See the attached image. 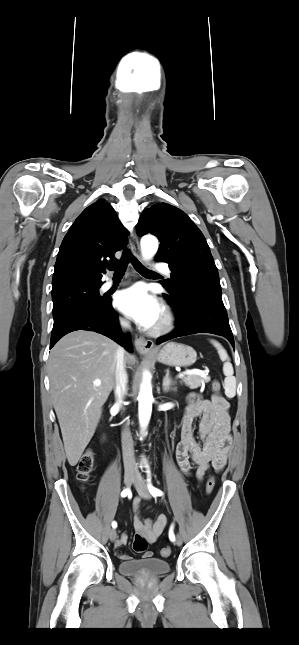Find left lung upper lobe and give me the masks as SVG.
I'll return each mask as SVG.
<instances>
[{"mask_svg":"<svg viewBox=\"0 0 299 645\" xmlns=\"http://www.w3.org/2000/svg\"><path fill=\"white\" fill-rule=\"evenodd\" d=\"M137 234L155 235L161 242L157 261L169 263L171 279L161 282L168 291H177L193 279L219 278L209 246L200 229L180 209L157 203L146 209L137 224Z\"/></svg>","mask_w":299,"mask_h":645,"instance_id":"left-lung-upper-lobe-1","label":"left lung upper lobe"}]
</instances>
